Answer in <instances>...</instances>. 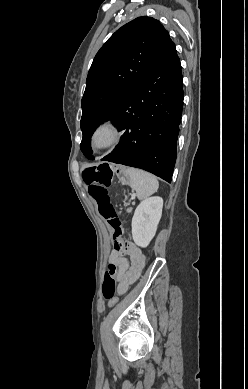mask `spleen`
Instances as JSON below:
<instances>
[{
    "mask_svg": "<svg viewBox=\"0 0 248 389\" xmlns=\"http://www.w3.org/2000/svg\"><path fill=\"white\" fill-rule=\"evenodd\" d=\"M125 173L129 178L130 187L136 191L139 200H143L157 192L159 183L157 178L141 169L126 168Z\"/></svg>",
    "mask_w": 248,
    "mask_h": 389,
    "instance_id": "spleen-1",
    "label": "spleen"
}]
</instances>
